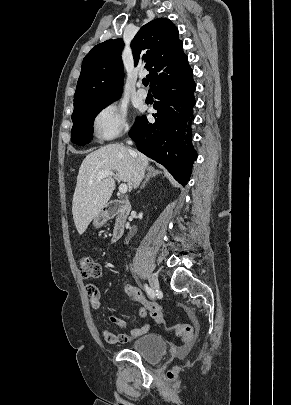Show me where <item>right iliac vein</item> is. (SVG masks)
Instances as JSON below:
<instances>
[{
	"instance_id": "right-iliac-vein-1",
	"label": "right iliac vein",
	"mask_w": 291,
	"mask_h": 405,
	"mask_svg": "<svg viewBox=\"0 0 291 405\" xmlns=\"http://www.w3.org/2000/svg\"><path fill=\"white\" fill-rule=\"evenodd\" d=\"M149 284L153 291H157L159 289V281L158 278L154 274L149 275Z\"/></svg>"
}]
</instances>
